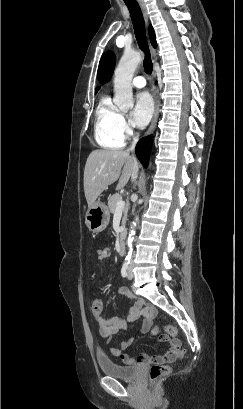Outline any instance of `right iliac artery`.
<instances>
[{"mask_svg":"<svg viewBox=\"0 0 243 409\" xmlns=\"http://www.w3.org/2000/svg\"><path fill=\"white\" fill-rule=\"evenodd\" d=\"M129 264H130V260L125 259V262L121 268V274L123 277H126L128 275Z\"/></svg>","mask_w":243,"mask_h":409,"instance_id":"obj_1","label":"right iliac artery"}]
</instances>
